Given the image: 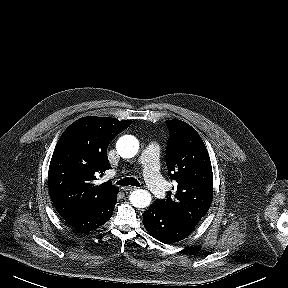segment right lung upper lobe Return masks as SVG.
<instances>
[{
    "label": "right lung upper lobe",
    "instance_id": "right-lung-upper-lobe-1",
    "mask_svg": "<svg viewBox=\"0 0 288 288\" xmlns=\"http://www.w3.org/2000/svg\"><path fill=\"white\" fill-rule=\"evenodd\" d=\"M132 121L109 117H83L61 135L49 166V194L62 217L88 212L112 198L119 189L107 181L94 184L96 175L111 166L110 141Z\"/></svg>",
    "mask_w": 288,
    "mask_h": 288
}]
</instances>
